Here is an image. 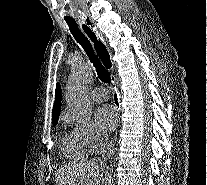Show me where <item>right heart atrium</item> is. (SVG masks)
Listing matches in <instances>:
<instances>
[{"mask_svg": "<svg viewBox=\"0 0 207 185\" xmlns=\"http://www.w3.org/2000/svg\"><path fill=\"white\" fill-rule=\"evenodd\" d=\"M63 120L73 125V134L78 136L92 151L96 152L106 144L108 140L107 135L92 121L77 118L70 113H65Z\"/></svg>", "mask_w": 207, "mask_h": 185, "instance_id": "d8ad5b80", "label": "right heart atrium"}]
</instances>
